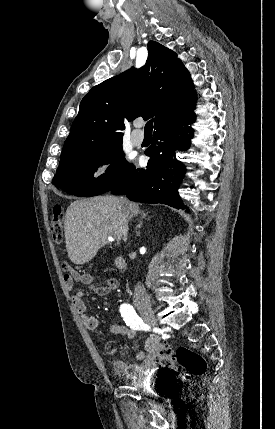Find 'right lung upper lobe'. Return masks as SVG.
<instances>
[{"instance_id": "right-lung-upper-lobe-1", "label": "right lung upper lobe", "mask_w": 275, "mask_h": 429, "mask_svg": "<svg viewBox=\"0 0 275 429\" xmlns=\"http://www.w3.org/2000/svg\"><path fill=\"white\" fill-rule=\"evenodd\" d=\"M148 52L143 67L103 81L82 99L60 162L122 139L124 119L155 117L158 129L194 114V86L176 53L155 41Z\"/></svg>"}]
</instances>
